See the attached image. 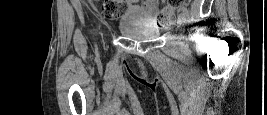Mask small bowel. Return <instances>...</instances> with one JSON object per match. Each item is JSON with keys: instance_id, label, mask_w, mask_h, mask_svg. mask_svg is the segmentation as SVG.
Here are the masks:
<instances>
[{"instance_id": "1", "label": "small bowel", "mask_w": 267, "mask_h": 115, "mask_svg": "<svg viewBox=\"0 0 267 115\" xmlns=\"http://www.w3.org/2000/svg\"><path fill=\"white\" fill-rule=\"evenodd\" d=\"M159 1L158 0H146L142 4H135L131 2L129 7L132 11H138L144 13L149 19L154 20L157 15Z\"/></svg>"}]
</instances>
